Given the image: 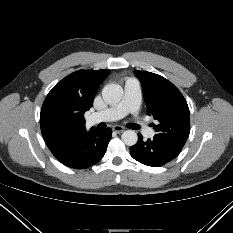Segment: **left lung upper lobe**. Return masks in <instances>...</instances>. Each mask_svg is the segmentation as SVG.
I'll return each mask as SVG.
<instances>
[{"label":"left lung upper lobe","instance_id":"obj_1","mask_svg":"<svg viewBox=\"0 0 233 233\" xmlns=\"http://www.w3.org/2000/svg\"><path fill=\"white\" fill-rule=\"evenodd\" d=\"M134 73L142 84L148 114L158 121L154 139L183 148L190 133L189 108L183 95L160 75L146 71Z\"/></svg>","mask_w":233,"mask_h":233}]
</instances>
